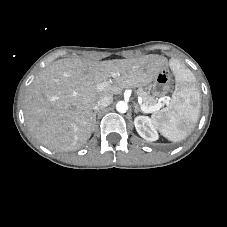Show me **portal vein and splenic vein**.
<instances>
[{
  "instance_id": "1",
  "label": "portal vein and splenic vein",
  "mask_w": 227,
  "mask_h": 227,
  "mask_svg": "<svg viewBox=\"0 0 227 227\" xmlns=\"http://www.w3.org/2000/svg\"><path fill=\"white\" fill-rule=\"evenodd\" d=\"M107 84H108L107 82L98 84L97 90L102 91L107 86ZM138 102L140 104L142 111L145 112V113L156 112L162 107L161 103H157L156 105H154L152 107H147V106L143 105L141 97L138 98ZM166 104H168V101H166Z\"/></svg>"
}]
</instances>
